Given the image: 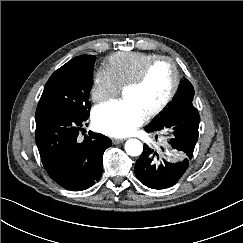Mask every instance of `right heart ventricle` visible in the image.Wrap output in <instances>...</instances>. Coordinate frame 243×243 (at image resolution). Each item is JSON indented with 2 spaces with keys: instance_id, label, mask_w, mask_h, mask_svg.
Returning a JSON list of instances; mask_svg holds the SVG:
<instances>
[{
  "instance_id": "e07e8e85",
  "label": "right heart ventricle",
  "mask_w": 243,
  "mask_h": 243,
  "mask_svg": "<svg viewBox=\"0 0 243 243\" xmlns=\"http://www.w3.org/2000/svg\"><path fill=\"white\" fill-rule=\"evenodd\" d=\"M157 56L144 52H117L107 57L104 65L119 87H124L140 73L149 61Z\"/></svg>"
}]
</instances>
